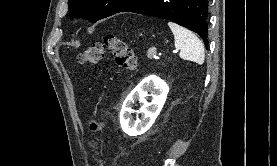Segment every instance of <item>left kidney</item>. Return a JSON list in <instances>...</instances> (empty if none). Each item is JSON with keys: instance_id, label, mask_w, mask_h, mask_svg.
Returning a JSON list of instances; mask_svg holds the SVG:
<instances>
[{"instance_id": "obj_1", "label": "left kidney", "mask_w": 277, "mask_h": 166, "mask_svg": "<svg viewBox=\"0 0 277 166\" xmlns=\"http://www.w3.org/2000/svg\"><path fill=\"white\" fill-rule=\"evenodd\" d=\"M168 91V85L155 75L143 79L131 91L122 105L120 125L123 132L129 136H137L149 130L163 108ZM148 96H152L151 102H147L146 97ZM137 101L142 104L139 110V113L142 114L141 120H134L131 116V113H134L133 105Z\"/></svg>"}]
</instances>
